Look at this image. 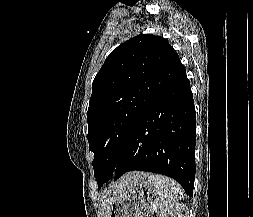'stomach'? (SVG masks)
I'll list each match as a JSON object with an SVG mask.
<instances>
[{"label":"stomach","mask_w":253,"mask_h":217,"mask_svg":"<svg viewBox=\"0 0 253 217\" xmlns=\"http://www.w3.org/2000/svg\"><path fill=\"white\" fill-rule=\"evenodd\" d=\"M155 194L152 184L143 180L113 201L108 217H152Z\"/></svg>","instance_id":"1"}]
</instances>
